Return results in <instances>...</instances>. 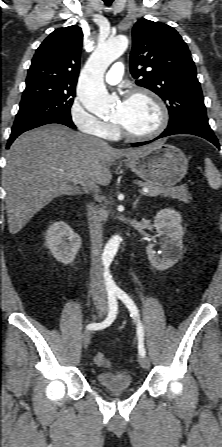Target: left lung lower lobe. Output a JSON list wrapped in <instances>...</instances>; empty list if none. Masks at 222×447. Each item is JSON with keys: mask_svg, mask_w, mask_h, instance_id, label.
<instances>
[{"mask_svg": "<svg viewBox=\"0 0 222 447\" xmlns=\"http://www.w3.org/2000/svg\"><path fill=\"white\" fill-rule=\"evenodd\" d=\"M174 134H192L205 138L206 140L213 143L218 149H220V144L216 136L214 135L212 129L204 128L196 123L190 121H180L173 125H168L167 129L157 138L147 142L134 143L133 146H142L151 143L159 138L166 137Z\"/></svg>", "mask_w": 222, "mask_h": 447, "instance_id": "1", "label": "left lung lower lobe"}]
</instances>
